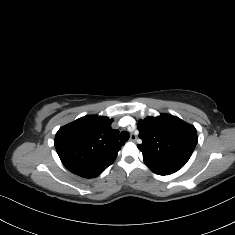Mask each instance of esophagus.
<instances>
[{
    "instance_id": "34e87169",
    "label": "esophagus",
    "mask_w": 235,
    "mask_h": 235,
    "mask_svg": "<svg viewBox=\"0 0 235 235\" xmlns=\"http://www.w3.org/2000/svg\"><path fill=\"white\" fill-rule=\"evenodd\" d=\"M136 140H137V136L132 133L131 136H130V141L135 142Z\"/></svg>"
}]
</instances>
